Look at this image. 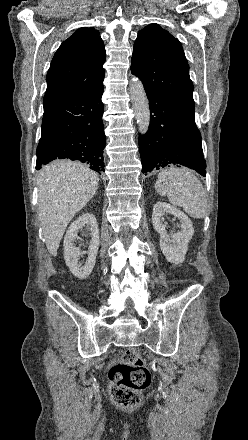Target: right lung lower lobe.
Listing matches in <instances>:
<instances>
[{
  "instance_id": "98d812e1",
  "label": "right lung lower lobe",
  "mask_w": 248,
  "mask_h": 440,
  "mask_svg": "<svg viewBox=\"0 0 248 440\" xmlns=\"http://www.w3.org/2000/svg\"><path fill=\"white\" fill-rule=\"evenodd\" d=\"M103 89L102 86L44 107L37 170L52 160L68 158L88 164L98 173L105 171Z\"/></svg>"
}]
</instances>
